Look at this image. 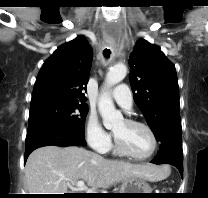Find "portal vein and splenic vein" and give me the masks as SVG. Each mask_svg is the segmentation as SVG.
Wrapping results in <instances>:
<instances>
[{
  "label": "portal vein and splenic vein",
  "instance_id": "1",
  "mask_svg": "<svg viewBox=\"0 0 208 198\" xmlns=\"http://www.w3.org/2000/svg\"><path fill=\"white\" fill-rule=\"evenodd\" d=\"M73 184H75L78 187L79 190H83L86 193H93L94 192V191H92V190H90L86 187L83 180L77 181L76 183H73Z\"/></svg>",
  "mask_w": 208,
  "mask_h": 198
}]
</instances>
